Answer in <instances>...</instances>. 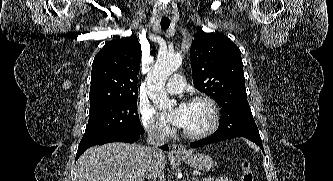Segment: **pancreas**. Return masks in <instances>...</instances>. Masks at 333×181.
I'll use <instances>...</instances> for the list:
<instances>
[{
  "instance_id": "pancreas-1",
  "label": "pancreas",
  "mask_w": 333,
  "mask_h": 181,
  "mask_svg": "<svg viewBox=\"0 0 333 181\" xmlns=\"http://www.w3.org/2000/svg\"><path fill=\"white\" fill-rule=\"evenodd\" d=\"M213 181H232L230 178L228 177H221V178H218V179H213Z\"/></svg>"
}]
</instances>
